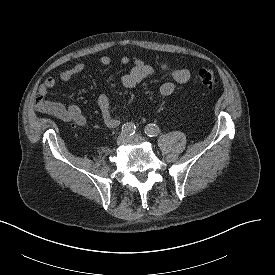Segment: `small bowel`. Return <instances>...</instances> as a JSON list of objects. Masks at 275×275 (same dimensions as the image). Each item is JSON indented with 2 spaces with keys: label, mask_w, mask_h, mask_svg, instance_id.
<instances>
[{
  "label": "small bowel",
  "mask_w": 275,
  "mask_h": 275,
  "mask_svg": "<svg viewBox=\"0 0 275 275\" xmlns=\"http://www.w3.org/2000/svg\"><path fill=\"white\" fill-rule=\"evenodd\" d=\"M131 59L128 56L121 58L122 64L130 63ZM111 58L103 55L100 58V63L103 66L109 65ZM86 68L85 62H78L74 66L60 72L59 78L61 81H69L75 75L81 73ZM160 70L169 76V80L164 81L159 88L160 94L164 97L172 95L175 91L176 84L187 83L191 78V73L187 69L175 68L168 64L160 65ZM154 72V68L146 64L142 59L135 58L132 68L121 77V84L126 88H133L142 80L149 77ZM57 83L56 78L48 77L39 88V94L45 96L49 89L53 88ZM97 104L101 114L103 123L109 128L119 126V120L112 114L110 99L105 92H100L97 95ZM44 109L50 115L69 122L72 125L84 126L87 119L76 105H65L58 102L46 101Z\"/></svg>",
  "instance_id": "c3829d8e"
}]
</instances>
